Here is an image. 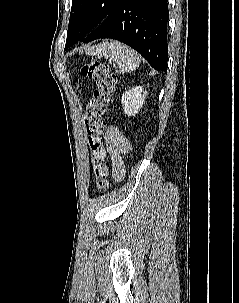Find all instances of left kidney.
Listing matches in <instances>:
<instances>
[{
    "label": "left kidney",
    "instance_id": "1",
    "mask_svg": "<svg viewBox=\"0 0 239 303\" xmlns=\"http://www.w3.org/2000/svg\"><path fill=\"white\" fill-rule=\"evenodd\" d=\"M148 92L142 86H136L122 95L121 103L125 114L135 116L142 108Z\"/></svg>",
    "mask_w": 239,
    "mask_h": 303
}]
</instances>
